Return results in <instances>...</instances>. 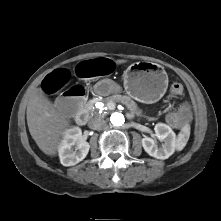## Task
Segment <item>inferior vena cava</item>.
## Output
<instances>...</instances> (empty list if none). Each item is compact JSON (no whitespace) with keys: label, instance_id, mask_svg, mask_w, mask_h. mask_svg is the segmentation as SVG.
Wrapping results in <instances>:
<instances>
[{"label":"inferior vena cava","instance_id":"1","mask_svg":"<svg viewBox=\"0 0 221 221\" xmlns=\"http://www.w3.org/2000/svg\"><path fill=\"white\" fill-rule=\"evenodd\" d=\"M89 126L94 130H100L106 126V121L100 117H95L89 121Z\"/></svg>","mask_w":221,"mask_h":221}]
</instances>
